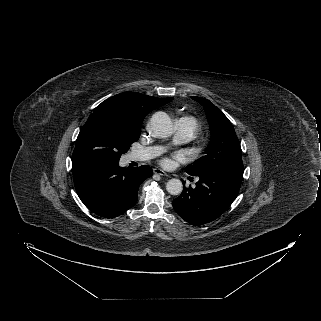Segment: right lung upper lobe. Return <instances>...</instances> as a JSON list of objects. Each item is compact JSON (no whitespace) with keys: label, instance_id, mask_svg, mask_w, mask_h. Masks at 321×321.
Instances as JSON below:
<instances>
[{"label":"right lung upper lobe","instance_id":"1","mask_svg":"<svg viewBox=\"0 0 321 321\" xmlns=\"http://www.w3.org/2000/svg\"><path fill=\"white\" fill-rule=\"evenodd\" d=\"M172 100V97L157 98L137 92H123L108 98L100 105L115 108L121 111L131 121L142 123L150 111Z\"/></svg>","mask_w":321,"mask_h":321}]
</instances>
